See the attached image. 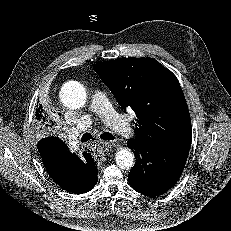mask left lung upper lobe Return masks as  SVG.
<instances>
[{
  "mask_svg": "<svg viewBox=\"0 0 231 231\" xmlns=\"http://www.w3.org/2000/svg\"><path fill=\"white\" fill-rule=\"evenodd\" d=\"M94 70L118 104L137 115L135 139L172 152L189 153L191 120L176 76L153 58L98 62Z\"/></svg>",
  "mask_w": 231,
  "mask_h": 231,
  "instance_id": "obj_1",
  "label": "left lung upper lobe"
}]
</instances>
